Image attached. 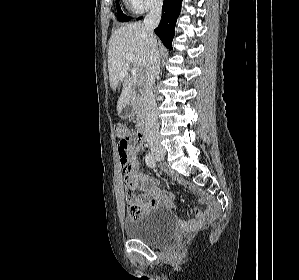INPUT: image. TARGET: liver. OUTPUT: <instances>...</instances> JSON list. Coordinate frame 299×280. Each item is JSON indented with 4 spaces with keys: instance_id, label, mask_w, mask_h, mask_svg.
Instances as JSON below:
<instances>
[{
    "instance_id": "1",
    "label": "liver",
    "mask_w": 299,
    "mask_h": 280,
    "mask_svg": "<svg viewBox=\"0 0 299 280\" xmlns=\"http://www.w3.org/2000/svg\"><path fill=\"white\" fill-rule=\"evenodd\" d=\"M127 53L135 56V68H141L147 72L150 54L144 24L136 22L120 27L113 32L109 41L108 70L111 88L115 90L119 82L126 77L117 102L118 113H121L122 109L129 105L132 96V84L127 74L130 61H127L125 57Z\"/></svg>"
}]
</instances>
